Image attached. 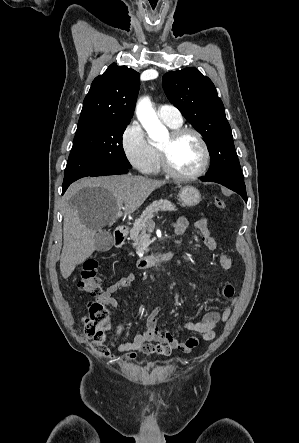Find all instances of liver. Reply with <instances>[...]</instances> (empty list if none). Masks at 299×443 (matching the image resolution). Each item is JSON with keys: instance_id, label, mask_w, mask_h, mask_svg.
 I'll return each mask as SVG.
<instances>
[{"instance_id": "6515ba94", "label": "liver", "mask_w": 299, "mask_h": 443, "mask_svg": "<svg viewBox=\"0 0 299 443\" xmlns=\"http://www.w3.org/2000/svg\"><path fill=\"white\" fill-rule=\"evenodd\" d=\"M164 180L130 175L86 178L66 193L63 211V249L60 271L67 279L75 267L89 258L96 249L97 230L115 221L121 208L125 214L135 212ZM85 189V198L75 201L78 191ZM124 204V207H123Z\"/></svg>"}]
</instances>
